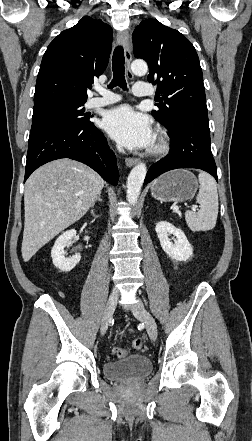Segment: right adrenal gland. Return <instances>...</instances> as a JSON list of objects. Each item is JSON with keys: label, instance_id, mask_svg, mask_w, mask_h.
I'll list each match as a JSON object with an SVG mask.
<instances>
[{"label": "right adrenal gland", "instance_id": "obj_1", "mask_svg": "<svg viewBox=\"0 0 252 441\" xmlns=\"http://www.w3.org/2000/svg\"><path fill=\"white\" fill-rule=\"evenodd\" d=\"M97 201L102 202V199H101L100 195L97 196L96 200L94 201V203H93V205H92V208H94V205H95V203H96Z\"/></svg>", "mask_w": 252, "mask_h": 441}]
</instances>
